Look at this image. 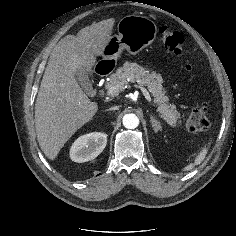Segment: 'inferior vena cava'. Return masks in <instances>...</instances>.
Returning a JSON list of instances; mask_svg holds the SVG:
<instances>
[{"mask_svg":"<svg viewBox=\"0 0 236 236\" xmlns=\"http://www.w3.org/2000/svg\"><path fill=\"white\" fill-rule=\"evenodd\" d=\"M118 109H119V106H113L109 110H118Z\"/></svg>","mask_w":236,"mask_h":236,"instance_id":"obj_1","label":"inferior vena cava"}]
</instances>
